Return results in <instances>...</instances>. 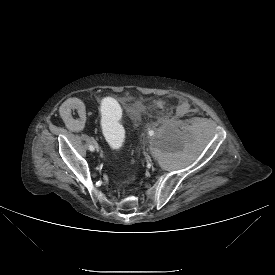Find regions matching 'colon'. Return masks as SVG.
<instances>
[{"label":"colon","mask_w":275,"mask_h":275,"mask_svg":"<svg viewBox=\"0 0 275 275\" xmlns=\"http://www.w3.org/2000/svg\"><path fill=\"white\" fill-rule=\"evenodd\" d=\"M156 105H161L160 101H156ZM100 110L104 115L102 126L108 144L112 148H118L123 143V130L119 122V106L115 103V99L111 95H104L100 99Z\"/></svg>","instance_id":"1"}]
</instances>
